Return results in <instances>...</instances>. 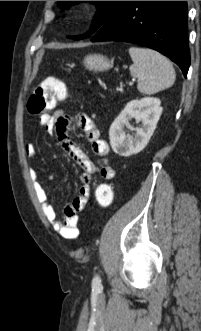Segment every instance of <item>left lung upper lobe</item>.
Returning <instances> with one entry per match:
<instances>
[{
	"instance_id": "left-lung-upper-lobe-1",
	"label": "left lung upper lobe",
	"mask_w": 201,
	"mask_h": 331,
	"mask_svg": "<svg viewBox=\"0 0 201 331\" xmlns=\"http://www.w3.org/2000/svg\"><path fill=\"white\" fill-rule=\"evenodd\" d=\"M91 3L97 4L99 12L95 16L93 20V24L91 26V30L88 34L83 36L73 37V39H83L88 37L91 33L96 32L105 21L113 14L115 9L117 8L120 1H90ZM58 4L61 8H68L72 1H58Z\"/></svg>"
}]
</instances>
